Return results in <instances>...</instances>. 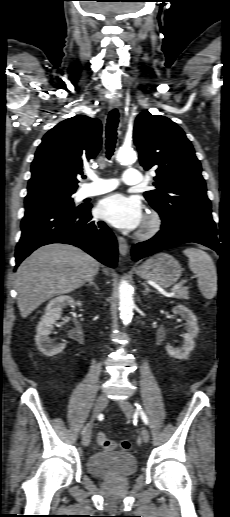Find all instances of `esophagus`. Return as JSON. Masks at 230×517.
Segmentation results:
<instances>
[{
	"mask_svg": "<svg viewBox=\"0 0 230 517\" xmlns=\"http://www.w3.org/2000/svg\"><path fill=\"white\" fill-rule=\"evenodd\" d=\"M109 105L111 109H116L120 106V100L118 97L110 98ZM119 252L122 256H126L129 251V246L125 238L118 236Z\"/></svg>",
	"mask_w": 230,
	"mask_h": 517,
	"instance_id": "obj_1",
	"label": "esophagus"
}]
</instances>
